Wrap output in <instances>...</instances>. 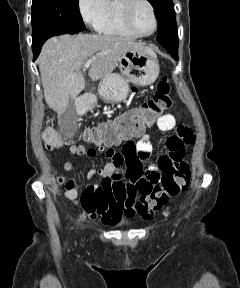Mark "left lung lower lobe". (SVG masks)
<instances>
[{"instance_id": "left-lung-lower-lobe-1", "label": "left lung lower lobe", "mask_w": 240, "mask_h": 288, "mask_svg": "<svg viewBox=\"0 0 240 288\" xmlns=\"http://www.w3.org/2000/svg\"><path fill=\"white\" fill-rule=\"evenodd\" d=\"M168 52L172 55L174 59H178V45L177 46H172V45H163Z\"/></svg>"}]
</instances>
